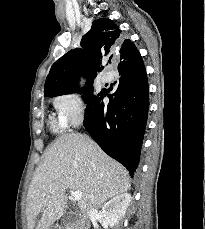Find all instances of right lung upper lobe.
Wrapping results in <instances>:
<instances>
[{"instance_id": "cb5924a9", "label": "right lung upper lobe", "mask_w": 205, "mask_h": 229, "mask_svg": "<svg viewBox=\"0 0 205 229\" xmlns=\"http://www.w3.org/2000/svg\"><path fill=\"white\" fill-rule=\"evenodd\" d=\"M118 26L110 19L94 20L90 31L82 37L81 47L70 50L51 67L44 86L45 97L72 93L77 89L80 75L87 77V84H92L97 72L103 69L101 62L115 51L120 55L118 70L135 66L141 56L130 40H125L121 47ZM119 46V49H118Z\"/></svg>"}]
</instances>
